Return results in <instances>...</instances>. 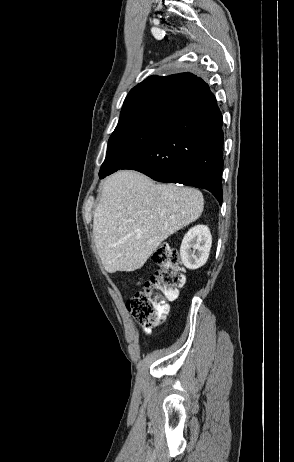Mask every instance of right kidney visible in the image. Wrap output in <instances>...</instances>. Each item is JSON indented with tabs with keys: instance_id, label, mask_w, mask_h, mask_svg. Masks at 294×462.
Returning <instances> with one entry per match:
<instances>
[{
	"instance_id": "right-kidney-1",
	"label": "right kidney",
	"mask_w": 294,
	"mask_h": 462,
	"mask_svg": "<svg viewBox=\"0 0 294 462\" xmlns=\"http://www.w3.org/2000/svg\"><path fill=\"white\" fill-rule=\"evenodd\" d=\"M212 244L210 230L205 225L192 227L184 236L180 247V257L184 266L196 270L203 266Z\"/></svg>"
}]
</instances>
